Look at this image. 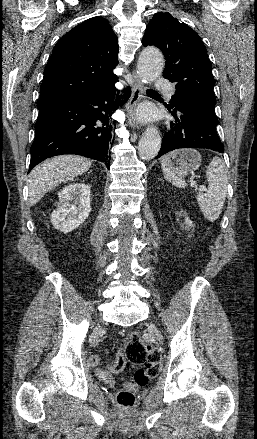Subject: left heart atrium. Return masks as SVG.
Listing matches in <instances>:
<instances>
[{"mask_svg": "<svg viewBox=\"0 0 257 439\" xmlns=\"http://www.w3.org/2000/svg\"><path fill=\"white\" fill-rule=\"evenodd\" d=\"M144 116H147V114H146V113H144Z\"/></svg>", "mask_w": 257, "mask_h": 439, "instance_id": "39dd6f15", "label": "left heart atrium"}]
</instances>
